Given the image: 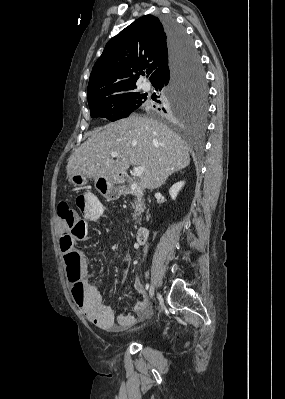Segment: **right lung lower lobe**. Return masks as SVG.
<instances>
[{
    "mask_svg": "<svg viewBox=\"0 0 285 399\" xmlns=\"http://www.w3.org/2000/svg\"><path fill=\"white\" fill-rule=\"evenodd\" d=\"M168 40L169 60L168 66L160 71L151 83L157 91L171 90L178 83L193 60L194 46L185 30L174 20L162 21ZM165 102L162 107H167Z\"/></svg>",
    "mask_w": 285,
    "mask_h": 399,
    "instance_id": "right-lung-lower-lobe-1",
    "label": "right lung lower lobe"
}]
</instances>
